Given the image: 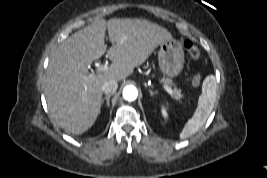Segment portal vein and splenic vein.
Instances as JSON below:
<instances>
[{
    "instance_id": "portal-vein-and-splenic-vein-1",
    "label": "portal vein and splenic vein",
    "mask_w": 267,
    "mask_h": 178,
    "mask_svg": "<svg viewBox=\"0 0 267 178\" xmlns=\"http://www.w3.org/2000/svg\"><path fill=\"white\" fill-rule=\"evenodd\" d=\"M108 69V65L107 64H100L97 67V72H104ZM164 89L170 94H173V90L166 84L163 85Z\"/></svg>"
}]
</instances>
